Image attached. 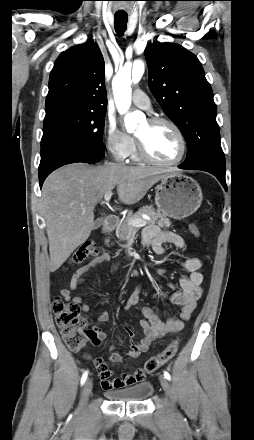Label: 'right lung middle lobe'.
Instances as JSON below:
<instances>
[{
	"mask_svg": "<svg viewBox=\"0 0 254 440\" xmlns=\"http://www.w3.org/2000/svg\"><path fill=\"white\" fill-rule=\"evenodd\" d=\"M106 111H94L73 105L46 109L39 177L68 163L99 161L103 150Z\"/></svg>",
	"mask_w": 254,
	"mask_h": 440,
	"instance_id": "obj_1",
	"label": "right lung middle lobe"
}]
</instances>
